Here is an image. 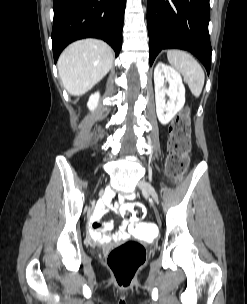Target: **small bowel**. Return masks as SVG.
<instances>
[{"label":"small bowel","mask_w":247,"mask_h":304,"mask_svg":"<svg viewBox=\"0 0 247 304\" xmlns=\"http://www.w3.org/2000/svg\"><path fill=\"white\" fill-rule=\"evenodd\" d=\"M127 196L126 198H130ZM107 201H109V196L106 195L105 201L98 204L92 219L91 225L88 231L89 238L97 243H108L116 239L125 237L127 230L130 229V224L128 221H123L120 229L115 233V235H109L105 232L110 230L113 226L111 221L101 222L100 219L104 215L107 209Z\"/></svg>","instance_id":"1"}]
</instances>
